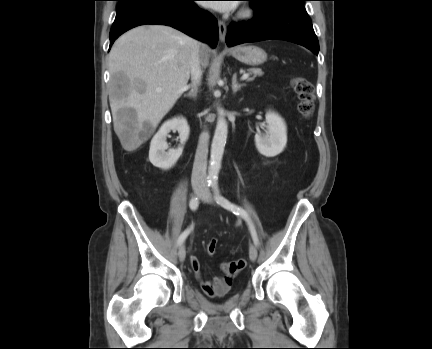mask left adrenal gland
I'll use <instances>...</instances> for the list:
<instances>
[{
    "label": "left adrenal gland",
    "mask_w": 432,
    "mask_h": 349,
    "mask_svg": "<svg viewBox=\"0 0 432 349\" xmlns=\"http://www.w3.org/2000/svg\"><path fill=\"white\" fill-rule=\"evenodd\" d=\"M244 86H245V84H239L237 82L236 74H234L233 78H232V91H233V93H236L237 91H239L241 89V87H244Z\"/></svg>",
    "instance_id": "obj_1"
}]
</instances>
